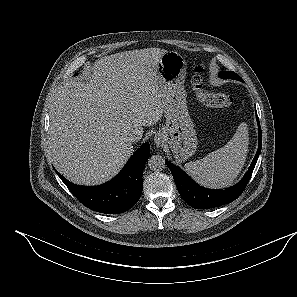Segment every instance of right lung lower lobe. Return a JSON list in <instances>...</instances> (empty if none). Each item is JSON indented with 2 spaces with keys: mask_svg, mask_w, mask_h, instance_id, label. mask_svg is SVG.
<instances>
[{
  "mask_svg": "<svg viewBox=\"0 0 297 297\" xmlns=\"http://www.w3.org/2000/svg\"><path fill=\"white\" fill-rule=\"evenodd\" d=\"M150 155V146L143 144L111 181L94 187L75 185L56 171L72 194L86 207L106 214H119L132 208L143 189V168Z\"/></svg>",
  "mask_w": 297,
  "mask_h": 297,
  "instance_id": "98d812e1",
  "label": "right lung lower lobe"
}]
</instances>
